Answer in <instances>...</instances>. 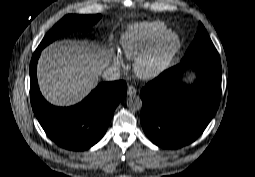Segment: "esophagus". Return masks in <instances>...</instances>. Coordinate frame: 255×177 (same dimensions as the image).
I'll return each instance as SVG.
<instances>
[{"mask_svg":"<svg viewBox=\"0 0 255 177\" xmlns=\"http://www.w3.org/2000/svg\"><path fill=\"white\" fill-rule=\"evenodd\" d=\"M136 93H137V89H136L134 86L129 85V86H128V90H127V94H128L129 96H135Z\"/></svg>","mask_w":255,"mask_h":177,"instance_id":"1","label":"esophagus"}]
</instances>
